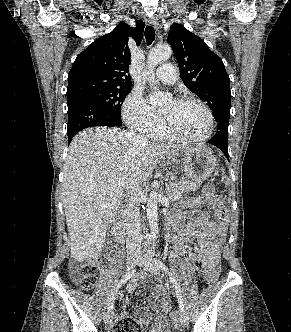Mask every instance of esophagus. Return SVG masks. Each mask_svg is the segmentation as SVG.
Instances as JSON below:
<instances>
[{
	"instance_id": "obj_1",
	"label": "esophagus",
	"mask_w": 291,
	"mask_h": 332,
	"mask_svg": "<svg viewBox=\"0 0 291 332\" xmlns=\"http://www.w3.org/2000/svg\"><path fill=\"white\" fill-rule=\"evenodd\" d=\"M149 23L156 29H159V22L158 19L156 17H151L149 18Z\"/></svg>"
}]
</instances>
